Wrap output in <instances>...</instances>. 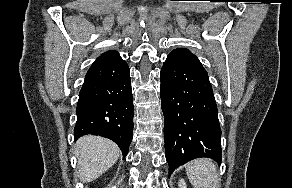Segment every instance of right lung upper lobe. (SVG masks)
<instances>
[{
  "label": "right lung upper lobe",
  "instance_id": "cb5924a9",
  "mask_svg": "<svg viewBox=\"0 0 292 188\" xmlns=\"http://www.w3.org/2000/svg\"><path fill=\"white\" fill-rule=\"evenodd\" d=\"M117 53L116 51H108V52H105L104 54H102L101 56H107V55H111V54H115Z\"/></svg>",
  "mask_w": 292,
  "mask_h": 188
}]
</instances>
